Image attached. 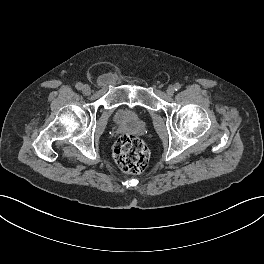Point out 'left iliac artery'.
I'll return each mask as SVG.
<instances>
[{
  "mask_svg": "<svg viewBox=\"0 0 264 264\" xmlns=\"http://www.w3.org/2000/svg\"><path fill=\"white\" fill-rule=\"evenodd\" d=\"M180 88H181V85H180L179 83H176V84L174 85V89H175L176 91L180 90Z\"/></svg>",
  "mask_w": 264,
  "mask_h": 264,
  "instance_id": "44dca946",
  "label": "left iliac artery"
}]
</instances>
